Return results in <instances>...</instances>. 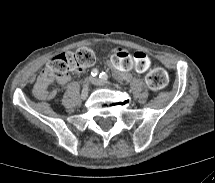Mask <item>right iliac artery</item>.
<instances>
[{"label":"right iliac artery","mask_w":215,"mask_h":183,"mask_svg":"<svg viewBox=\"0 0 215 183\" xmlns=\"http://www.w3.org/2000/svg\"><path fill=\"white\" fill-rule=\"evenodd\" d=\"M98 70L97 69H93L92 71H91V75L92 76H96V75H98Z\"/></svg>","instance_id":"obj_1"}]
</instances>
